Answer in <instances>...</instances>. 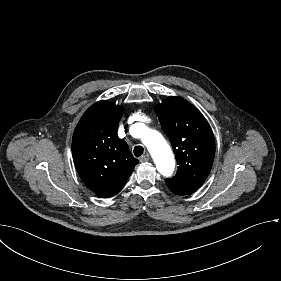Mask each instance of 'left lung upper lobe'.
<instances>
[{"mask_svg":"<svg viewBox=\"0 0 281 281\" xmlns=\"http://www.w3.org/2000/svg\"><path fill=\"white\" fill-rule=\"evenodd\" d=\"M179 165L176 175L166 179L177 195L195 192L208 177L215 155V140L207 120L181 97H169L155 107Z\"/></svg>","mask_w":281,"mask_h":281,"instance_id":"5c2ea615","label":"left lung upper lobe"}]
</instances>
